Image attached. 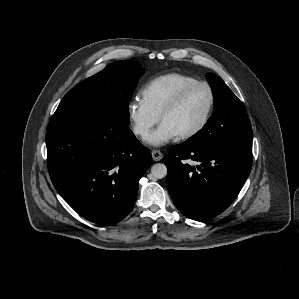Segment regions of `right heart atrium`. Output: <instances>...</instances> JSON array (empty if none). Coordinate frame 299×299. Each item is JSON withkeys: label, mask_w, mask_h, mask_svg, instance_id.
I'll return each instance as SVG.
<instances>
[{"label": "right heart atrium", "mask_w": 299, "mask_h": 299, "mask_svg": "<svg viewBox=\"0 0 299 299\" xmlns=\"http://www.w3.org/2000/svg\"><path fill=\"white\" fill-rule=\"evenodd\" d=\"M127 116L134 134L141 138L146 137L159 120V116L140 99H133L127 104Z\"/></svg>", "instance_id": "1"}]
</instances>
